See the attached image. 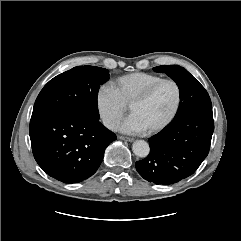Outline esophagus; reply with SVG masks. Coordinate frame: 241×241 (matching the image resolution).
I'll list each match as a JSON object with an SVG mask.
<instances>
[{
	"label": "esophagus",
	"mask_w": 241,
	"mask_h": 241,
	"mask_svg": "<svg viewBox=\"0 0 241 241\" xmlns=\"http://www.w3.org/2000/svg\"><path fill=\"white\" fill-rule=\"evenodd\" d=\"M118 138L120 140H125V141H128V142H133L134 141V138L126 137V136H118Z\"/></svg>",
	"instance_id": "esophagus-1"
}]
</instances>
